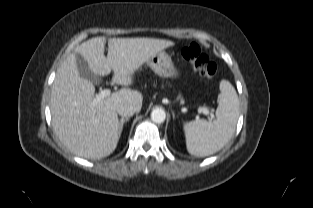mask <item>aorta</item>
Returning a JSON list of instances; mask_svg holds the SVG:
<instances>
[{
	"label": "aorta",
	"mask_w": 313,
	"mask_h": 208,
	"mask_svg": "<svg viewBox=\"0 0 313 208\" xmlns=\"http://www.w3.org/2000/svg\"><path fill=\"white\" fill-rule=\"evenodd\" d=\"M166 119V113L162 108H155L151 112V120L155 123H163Z\"/></svg>",
	"instance_id": "762f6f07"
}]
</instances>
